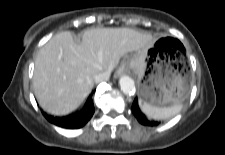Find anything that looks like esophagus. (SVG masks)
<instances>
[{"mask_svg":"<svg viewBox=\"0 0 225 155\" xmlns=\"http://www.w3.org/2000/svg\"><path fill=\"white\" fill-rule=\"evenodd\" d=\"M129 68L128 65L122 64L115 72V77H119L123 74H126L128 72Z\"/></svg>","mask_w":225,"mask_h":155,"instance_id":"34e87169","label":"esophagus"}]
</instances>
